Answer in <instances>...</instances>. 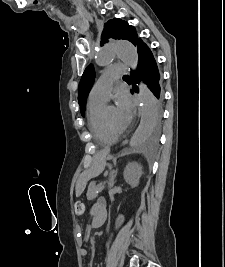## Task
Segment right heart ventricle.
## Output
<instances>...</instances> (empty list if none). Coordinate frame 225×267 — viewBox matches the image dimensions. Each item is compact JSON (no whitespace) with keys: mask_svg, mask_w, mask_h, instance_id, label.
<instances>
[{"mask_svg":"<svg viewBox=\"0 0 225 267\" xmlns=\"http://www.w3.org/2000/svg\"><path fill=\"white\" fill-rule=\"evenodd\" d=\"M104 103L103 101L89 99L87 107L88 124L98 144L111 145L117 140V136L111 134L104 125L102 118Z\"/></svg>","mask_w":225,"mask_h":267,"instance_id":"1","label":"right heart ventricle"}]
</instances>
